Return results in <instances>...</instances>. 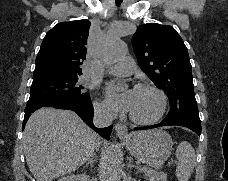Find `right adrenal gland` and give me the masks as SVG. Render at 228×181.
Returning a JSON list of instances; mask_svg holds the SVG:
<instances>
[{"label":"right adrenal gland","mask_w":228,"mask_h":181,"mask_svg":"<svg viewBox=\"0 0 228 181\" xmlns=\"http://www.w3.org/2000/svg\"><path fill=\"white\" fill-rule=\"evenodd\" d=\"M91 167V169H93L94 167V155H92L91 159H89V161H87L86 165H84L83 169H87V167Z\"/></svg>","instance_id":"obj_1"}]
</instances>
